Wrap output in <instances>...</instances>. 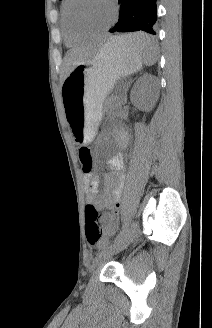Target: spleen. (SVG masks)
Masks as SVG:
<instances>
[{
	"label": "spleen",
	"instance_id": "spleen-1",
	"mask_svg": "<svg viewBox=\"0 0 212 328\" xmlns=\"http://www.w3.org/2000/svg\"><path fill=\"white\" fill-rule=\"evenodd\" d=\"M115 41L122 45L124 48L135 50V51H144V63L148 66L153 65L155 63L157 57V47L156 46H146V47H134L130 48V44L138 43L140 41L146 40L147 36L144 33H134L123 36L114 37Z\"/></svg>",
	"mask_w": 212,
	"mask_h": 328
}]
</instances>
